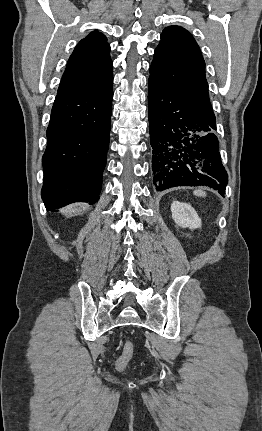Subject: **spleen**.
I'll use <instances>...</instances> for the list:
<instances>
[{
	"instance_id": "1",
	"label": "spleen",
	"mask_w": 262,
	"mask_h": 431,
	"mask_svg": "<svg viewBox=\"0 0 262 431\" xmlns=\"http://www.w3.org/2000/svg\"><path fill=\"white\" fill-rule=\"evenodd\" d=\"M193 193H194V195L200 196V197L206 196V193L202 190H195Z\"/></svg>"
}]
</instances>
